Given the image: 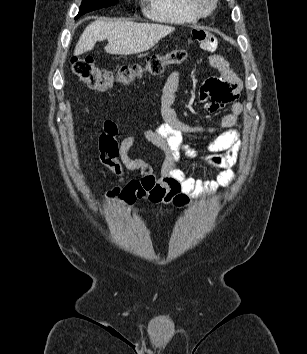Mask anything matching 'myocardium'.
<instances>
[{
    "label": "myocardium",
    "instance_id": "f54148a6",
    "mask_svg": "<svg viewBox=\"0 0 307 354\" xmlns=\"http://www.w3.org/2000/svg\"><path fill=\"white\" fill-rule=\"evenodd\" d=\"M218 0H189L190 7L198 17H207L216 9Z\"/></svg>",
    "mask_w": 307,
    "mask_h": 354
}]
</instances>
